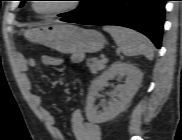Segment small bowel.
Returning <instances> with one entry per match:
<instances>
[{
	"label": "small bowel",
	"mask_w": 182,
	"mask_h": 140,
	"mask_svg": "<svg viewBox=\"0 0 182 140\" xmlns=\"http://www.w3.org/2000/svg\"><path fill=\"white\" fill-rule=\"evenodd\" d=\"M17 66L21 72L24 85L27 89H32L33 81L29 71L37 66V62L33 58H28L24 54H18ZM41 62L47 66H60L63 64V60L59 57L50 55H43ZM32 100L35 105L40 107V113L45 123L50 128V132L55 140H65L60 130L56 127L54 115L45 107L41 106L42 98L37 95H32ZM71 128L76 140H102L100 127L84 119L81 109H75L71 114Z\"/></svg>",
	"instance_id": "c3829d8e"
}]
</instances>
